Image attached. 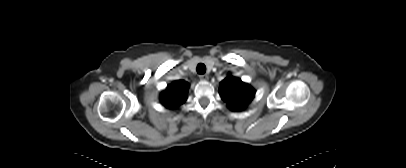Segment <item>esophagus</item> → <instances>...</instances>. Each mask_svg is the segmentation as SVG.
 Returning <instances> with one entry per match:
<instances>
[{
    "instance_id": "esophagus-1",
    "label": "esophagus",
    "mask_w": 406,
    "mask_h": 168,
    "mask_svg": "<svg viewBox=\"0 0 406 168\" xmlns=\"http://www.w3.org/2000/svg\"><path fill=\"white\" fill-rule=\"evenodd\" d=\"M199 77L202 81H207L209 79V76L207 74L200 75Z\"/></svg>"
}]
</instances>
